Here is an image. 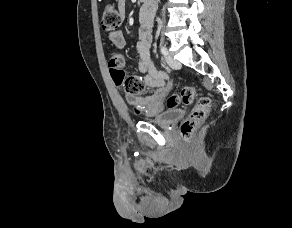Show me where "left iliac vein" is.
<instances>
[{
	"label": "left iliac vein",
	"instance_id": "left-iliac-vein-1",
	"mask_svg": "<svg viewBox=\"0 0 292 228\" xmlns=\"http://www.w3.org/2000/svg\"><path fill=\"white\" fill-rule=\"evenodd\" d=\"M166 62L167 64L173 68V69H180L181 67V64L179 61L175 60L172 56L170 55H167L166 56Z\"/></svg>",
	"mask_w": 292,
	"mask_h": 228
}]
</instances>
